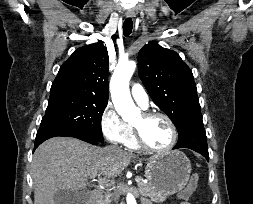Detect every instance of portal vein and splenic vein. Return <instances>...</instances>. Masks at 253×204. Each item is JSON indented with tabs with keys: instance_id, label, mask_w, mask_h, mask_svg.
<instances>
[{
	"instance_id": "portal-vein-and-splenic-vein-1",
	"label": "portal vein and splenic vein",
	"mask_w": 253,
	"mask_h": 204,
	"mask_svg": "<svg viewBox=\"0 0 253 204\" xmlns=\"http://www.w3.org/2000/svg\"><path fill=\"white\" fill-rule=\"evenodd\" d=\"M96 176H97V174H94L91 178L94 180ZM135 181L138 183V182L142 181V179H141V177L137 176L135 178ZM98 183L100 186H110L111 185V183H109L108 181H105L103 179H99Z\"/></svg>"
}]
</instances>
